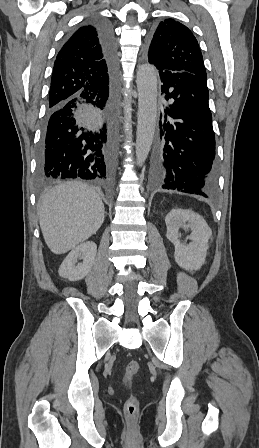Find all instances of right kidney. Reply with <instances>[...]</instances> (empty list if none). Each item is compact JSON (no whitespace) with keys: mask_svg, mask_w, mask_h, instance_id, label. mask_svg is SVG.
<instances>
[{"mask_svg":"<svg viewBox=\"0 0 259 448\" xmlns=\"http://www.w3.org/2000/svg\"><path fill=\"white\" fill-rule=\"evenodd\" d=\"M97 246L94 242H83L76 246L64 262H62L58 274L61 278H68L70 282L83 280L90 270H92L96 258ZM83 260V262H78Z\"/></svg>","mask_w":259,"mask_h":448,"instance_id":"obj_1","label":"right kidney"}]
</instances>
